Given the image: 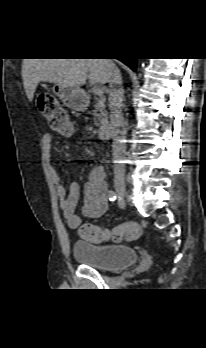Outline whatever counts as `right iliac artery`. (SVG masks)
<instances>
[{"label":"right iliac artery","instance_id":"obj_1","mask_svg":"<svg viewBox=\"0 0 206 348\" xmlns=\"http://www.w3.org/2000/svg\"><path fill=\"white\" fill-rule=\"evenodd\" d=\"M116 197H117V194H116L115 191L110 190V191L108 192V198H109L110 201H115V200H116Z\"/></svg>","mask_w":206,"mask_h":348}]
</instances>
